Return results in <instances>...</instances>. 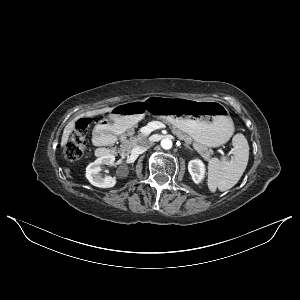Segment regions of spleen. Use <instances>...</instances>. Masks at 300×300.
Masks as SVG:
<instances>
[{"label": "spleen", "mask_w": 300, "mask_h": 300, "mask_svg": "<svg viewBox=\"0 0 300 300\" xmlns=\"http://www.w3.org/2000/svg\"><path fill=\"white\" fill-rule=\"evenodd\" d=\"M233 157L230 161L225 158H212L208 164V188L215 192L226 191L235 186L243 175L248 159L249 145L245 136L241 133L236 134L232 139Z\"/></svg>", "instance_id": "spleen-1"}]
</instances>
